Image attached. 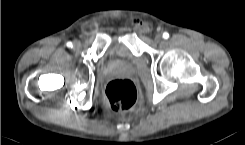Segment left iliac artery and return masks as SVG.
Wrapping results in <instances>:
<instances>
[{
    "label": "left iliac artery",
    "mask_w": 245,
    "mask_h": 145,
    "mask_svg": "<svg viewBox=\"0 0 245 145\" xmlns=\"http://www.w3.org/2000/svg\"><path fill=\"white\" fill-rule=\"evenodd\" d=\"M168 37H169V34H168L167 32H164V33H163V38H164V39H167Z\"/></svg>",
    "instance_id": "44dca946"
}]
</instances>
